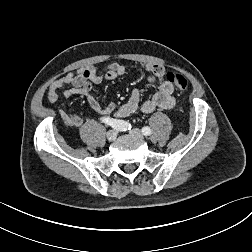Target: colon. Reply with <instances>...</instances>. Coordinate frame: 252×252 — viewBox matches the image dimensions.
<instances>
[{"mask_svg": "<svg viewBox=\"0 0 252 252\" xmlns=\"http://www.w3.org/2000/svg\"><path fill=\"white\" fill-rule=\"evenodd\" d=\"M166 79L180 90H185L188 87L187 79L180 73L168 72L166 74ZM124 110L127 111L128 113L132 114L136 111V108L135 107H127Z\"/></svg>", "mask_w": 252, "mask_h": 252, "instance_id": "5ec220e1", "label": "colon"}]
</instances>
